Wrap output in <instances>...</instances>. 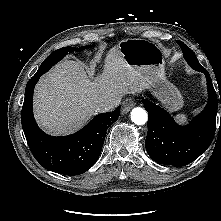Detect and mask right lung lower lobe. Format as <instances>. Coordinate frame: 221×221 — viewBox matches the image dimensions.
Returning <instances> with one entry per match:
<instances>
[{"mask_svg":"<svg viewBox=\"0 0 221 221\" xmlns=\"http://www.w3.org/2000/svg\"><path fill=\"white\" fill-rule=\"evenodd\" d=\"M37 72L27 83L22 107L23 131L35 159L47 170L64 175H79L86 172L99 158L106 130L117 121L120 107L113 112L102 113L93 118L83 129L64 137L45 134L33 116V91L39 77Z\"/></svg>","mask_w":221,"mask_h":221,"instance_id":"1","label":"right lung lower lobe"}]
</instances>
